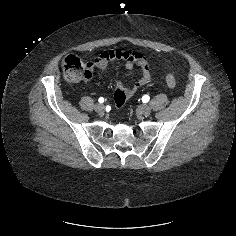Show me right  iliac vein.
Masks as SVG:
<instances>
[{"instance_id": "obj_1", "label": "right iliac vein", "mask_w": 236, "mask_h": 236, "mask_svg": "<svg viewBox=\"0 0 236 236\" xmlns=\"http://www.w3.org/2000/svg\"><path fill=\"white\" fill-rule=\"evenodd\" d=\"M105 110V107L103 104H96L95 105V111L98 113H103Z\"/></svg>"}]
</instances>
